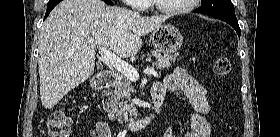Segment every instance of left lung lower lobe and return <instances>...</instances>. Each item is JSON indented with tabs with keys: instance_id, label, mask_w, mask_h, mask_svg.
<instances>
[{
	"instance_id": "obj_1",
	"label": "left lung lower lobe",
	"mask_w": 280,
	"mask_h": 137,
	"mask_svg": "<svg viewBox=\"0 0 280 137\" xmlns=\"http://www.w3.org/2000/svg\"><path fill=\"white\" fill-rule=\"evenodd\" d=\"M214 18H216V17H214ZM217 19H220V20L230 24L236 30L238 36L240 37L241 30H240V27L238 25V21L237 20H229V19H224V18H217Z\"/></svg>"
}]
</instances>
